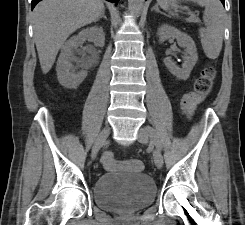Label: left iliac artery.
<instances>
[{
    "mask_svg": "<svg viewBox=\"0 0 245 225\" xmlns=\"http://www.w3.org/2000/svg\"><path fill=\"white\" fill-rule=\"evenodd\" d=\"M146 131L150 134V136L154 139V141H155V145H156V147L158 148V150H161V144H160V142H159V140H157L156 138H155V135H154V129L152 128V127H150V126H147L146 128Z\"/></svg>",
    "mask_w": 245,
    "mask_h": 225,
    "instance_id": "44dca946",
    "label": "left iliac artery"
}]
</instances>
